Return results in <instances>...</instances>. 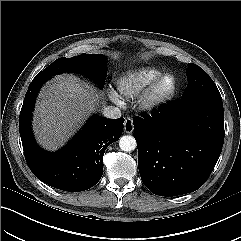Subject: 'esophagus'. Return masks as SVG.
Wrapping results in <instances>:
<instances>
[{"label": "esophagus", "instance_id": "esophagus-1", "mask_svg": "<svg viewBox=\"0 0 241 241\" xmlns=\"http://www.w3.org/2000/svg\"><path fill=\"white\" fill-rule=\"evenodd\" d=\"M134 130L133 120L130 117H127L124 121V131L128 134H131Z\"/></svg>", "mask_w": 241, "mask_h": 241}]
</instances>
